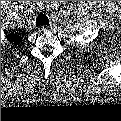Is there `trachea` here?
Listing matches in <instances>:
<instances>
[{"mask_svg": "<svg viewBox=\"0 0 121 121\" xmlns=\"http://www.w3.org/2000/svg\"><path fill=\"white\" fill-rule=\"evenodd\" d=\"M48 24H49V20L45 14L38 15V17L36 18L37 26L48 25Z\"/></svg>", "mask_w": 121, "mask_h": 121, "instance_id": "trachea-1", "label": "trachea"}]
</instances>
